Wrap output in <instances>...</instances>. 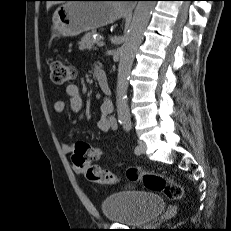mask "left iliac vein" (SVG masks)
Wrapping results in <instances>:
<instances>
[{"label":"left iliac vein","instance_id":"4c4485c4","mask_svg":"<svg viewBox=\"0 0 231 231\" xmlns=\"http://www.w3.org/2000/svg\"><path fill=\"white\" fill-rule=\"evenodd\" d=\"M138 148H139V154L145 153V151H146V144H145V142L142 141V140H139L138 141Z\"/></svg>","mask_w":231,"mask_h":231}]
</instances>
